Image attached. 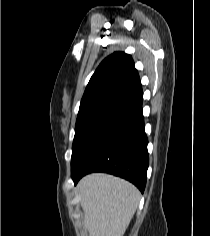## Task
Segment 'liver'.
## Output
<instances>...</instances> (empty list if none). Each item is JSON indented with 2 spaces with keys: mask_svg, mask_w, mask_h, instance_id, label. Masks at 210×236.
Wrapping results in <instances>:
<instances>
[{
  "mask_svg": "<svg viewBox=\"0 0 210 236\" xmlns=\"http://www.w3.org/2000/svg\"><path fill=\"white\" fill-rule=\"evenodd\" d=\"M84 226L89 236H123L139 204L140 192L128 181L103 173L78 184Z\"/></svg>",
  "mask_w": 210,
  "mask_h": 236,
  "instance_id": "1",
  "label": "liver"
}]
</instances>
